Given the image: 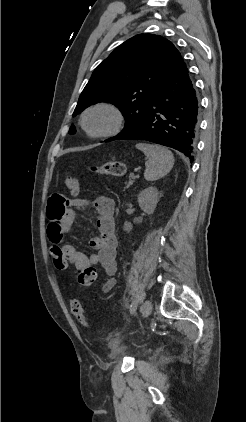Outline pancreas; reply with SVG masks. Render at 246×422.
<instances>
[{
  "mask_svg": "<svg viewBox=\"0 0 246 422\" xmlns=\"http://www.w3.org/2000/svg\"><path fill=\"white\" fill-rule=\"evenodd\" d=\"M133 182H134V179H133V175L131 174V175L129 176V182H128V184H127V187H129L130 185H132V184H133Z\"/></svg>",
  "mask_w": 246,
  "mask_h": 422,
  "instance_id": "1",
  "label": "pancreas"
}]
</instances>
